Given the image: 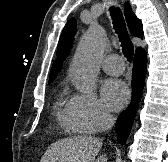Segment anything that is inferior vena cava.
Instances as JSON below:
<instances>
[{
	"label": "inferior vena cava",
	"instance_id": "1",
	"mask_svg": "<svg viewBox=\"0 0 168 162\" xmlns=\"http://www.w3.org/2000/svg\"><path fill=\"white\" fill-rule=\"evenodd\" d=\"M115 123V117H113L111 114H104L103 115V125L105 131L110 130Z\"/></svg>",
	"mask_w": 168,
	"mask_h": 162
}]
</instances>
